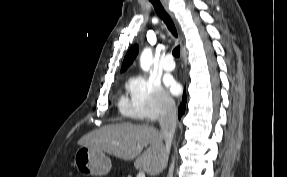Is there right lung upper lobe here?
Listing matches in <instances>:
<instances>
[{
  "label": "right lung upper lobe",
  "instance_id": "1",
  "mask_svg": "<svg viewBox=\"0 0 287 177\" xmlns=\"http://www.w3.org/2000/svg\"><path fill=\"white\" fill-rule=\"evenodd\" d=\"M138 53V46L134 45L132 46L129 51L127 52L123 64H122V68H121V72L125 71L133 62V60L136 58Z\"/></svg>",
  "mask_w": 287,
  "mask_h": 177
}]
</instances>
